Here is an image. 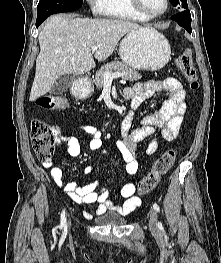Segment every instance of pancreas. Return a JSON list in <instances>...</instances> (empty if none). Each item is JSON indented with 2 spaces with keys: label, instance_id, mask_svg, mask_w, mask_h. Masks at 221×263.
Listing matches in <instances>:
<instances>
[{
  "label": "pancreas",
  "instance_id": "obj_1",
  "mask_svg": "<svg viewBox=\"0 0 221 263\" xmlns=\"http://www.w3.org/2000/svg\"><path fill=\"white\" fill-rule=\"evenodd\" d=\"M106 72L110 73H121L123 76H121L123 79L128 81H137L141 79V75L134 69L128 67L124 63L120 61H114L111 63H107L104 66H102L96 73L94 78V83L98 88H102L105 80H104V74Z\"/></svg>",
  "mask_w": 221,
  "mask_h": 263
}]
</instances>
